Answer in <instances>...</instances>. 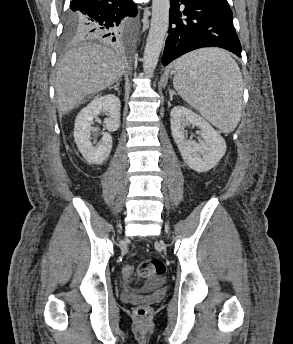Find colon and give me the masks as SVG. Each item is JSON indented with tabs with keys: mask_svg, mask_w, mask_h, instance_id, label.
<instances>
[{
	"mask_svg": "<svg viewBox=\"0 0 293 344\" xmlns=\"http://www.w3.org/2000/svg\"><path fill=\"white\" fill-rule=\"evenodd\" d=\"M166 271L164 262L158 258L146 260L136 267V273L139 277L147 280H158L163 277ZM134 272L132 266H126L123 269L124 277L130 279ZM136 315L140 319L146 318L150 313V308L147 305H140L136 308Z\"/></svg>",
	"mask_w": 293,
	"mask_h": 344,
	"instance_id": "1",
	"label": "colon"
}]
</instances>
